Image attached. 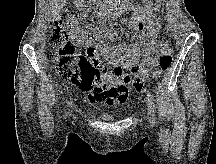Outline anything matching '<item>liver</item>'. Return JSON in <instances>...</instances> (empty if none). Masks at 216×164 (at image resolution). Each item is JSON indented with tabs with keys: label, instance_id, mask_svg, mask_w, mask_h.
Masks as SVG:
<instances>
[{
	"label": "liver",
	"instance_id": "obj_1",
	"mask_svg": "<svg viewBox=\"0 0 216 164\" xmlns=\"http://www.w3.org/2000/svg\"><path fill=\"white\" fill-rule=\"evenodd\" d=\"M53 1L55 3V5L53 6V14H57L58 11L63 7V4L66 0H53Z\"/></svg>",
	"mask_w": 216,
	"mask_h": 164
}]
</instances>
